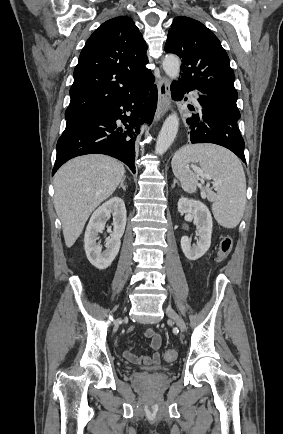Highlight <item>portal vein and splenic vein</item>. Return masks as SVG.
Here are the masks:
<instances>
[{"label": "portal vein and splenic vein", "mask_w": 283, "mask_h": 434, "mask_svg": "<svg viewBox=\"0 0 283 434\" xmlns=\"http://www.w3.org/2000/svg\"><path fill=\"white\" fill-rule=\"evenodd\" d=\"M200 176H201L202 178H205V179H210V176L205 175V174H203L202 172H200Z\"/></svg>", "instance_id": "obj_1"}]
</instances>
